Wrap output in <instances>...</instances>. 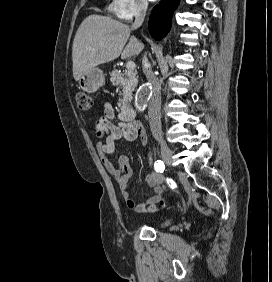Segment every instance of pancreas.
<instances>
[{"label":"pancreas","instance_id":"obj_1","mask_svg":"<svg viewBox=\"0 0 272 282\" xmlns=\"http://www.w3.org/2000/svg\"><path fill=\"white\" fill-rule=\"evenodd\" d=\"M110 81L122 90L118 105H129L132 100V93L138 82L137 73L132 70H126L124 73H121L117 69H114L110 72Z\"/></svg>","mask_w":272,"mask_h":282}]
</instances>
